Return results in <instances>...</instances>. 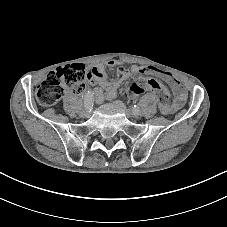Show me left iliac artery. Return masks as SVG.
Masks as SVG:
<instances>
[{
  "label": "left iliac artery",
  "mask_w": 227,
  "mask_h": 227,
  "mask_svg": "<svg viewBox=\"0 0 227 227\" xmlns=\"http://www.w3.org/2000/svg\"><path fill=\"white\" fill-rule=\"evenodd\" d=\"M134 109H136L135 111H138L136 114L138 115L140 113V109L137 105H134V107L132 108V111H134Z\"/></svg>",
  "instance_id": "1"
}]
</instances>
